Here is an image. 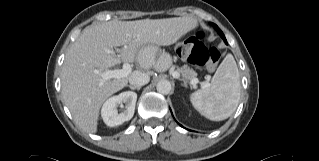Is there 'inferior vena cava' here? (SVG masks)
Returning <instances> with one entry per match:
<instances>
[{"label":"inferior vena cava","mask_w":319,"mask_h":161,"mask_svg":"<svg viewBox=\"0 0 319 161\" xmlns=\"http://www.w3.org/2000/svg\"><path fill=\"white\" fill-rule=\"evenodd\" d=\"M149 81V75L140 71H134L129 77L130 85L135 87H141L147 84Z\"/></svg>","instance_id":"1"}]
</instances>
